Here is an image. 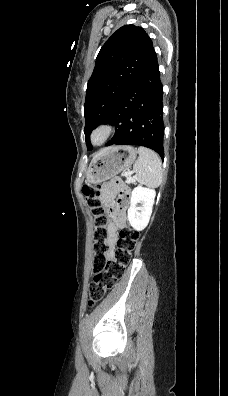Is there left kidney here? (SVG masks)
<instances>
[{
  "label": "left kidney",
  "mask_w": 228,
  "mask_h": 396,
  "mask_svg": "<svg viewBox=\"0 0 228 396\" xmlns=\"http://www.w3.org/2000/svg\"><path fill=\"white\" fill-rule=\"evenodd\" d=\"M156 192L154 189L137 186L132 190L130 207L128 208L129 224L141 231L149 223ZM141 204V206H137Z\"/></svg>",
  "instance_id": "1"
}]
</instances>
